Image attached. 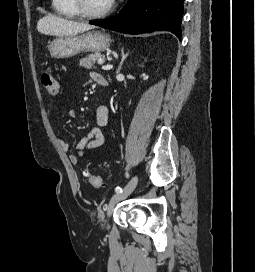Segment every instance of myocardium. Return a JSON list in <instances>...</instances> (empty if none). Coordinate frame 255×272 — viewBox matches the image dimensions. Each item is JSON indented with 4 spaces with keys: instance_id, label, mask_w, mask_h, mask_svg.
Wrapping results in <instances>:
<instances>
[{
    "instance_id": "f54148a6",
    "label": "myocardium",
    "mask_w": 255,
    "mask_h": 272,
    "mask_svg": "<svg viewBox=\"0 0 255 272\" xmlns=\"http://www.w3.org/2000/svg\"><path fill=\"white\" fill-rule=\"evenodd\" d=\"M72 1H73V5H74L75 9L77 10V12L79 13V15H81L82 17L90 18V19H98V18L106 17L113 10V2H111L110 6L107 9H105L104 11L94 13V12L89 11L86 8L85 0H72Z\"/></svg>"
}]
</instances>
